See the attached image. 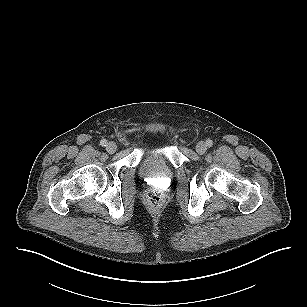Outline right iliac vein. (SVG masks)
I'll return each mask as SVG.
<instances>
[{
    "mask_svg": "<svg viewBox=\"0 0 307 307\" xmlns=\"http://www.w3.org/2000/svg\"><path fill=\"white\" fill-rule=\"evenodd\" d=\"M106 150L108 153L112 154L117 150V146L114 142H109L106 145Z\"/></svg>",
    "mask_w": 307,
    "mask_h": 307,
    "instance_id": "right-iliac-vein-1",
    "label": "right iliac vein"
}]
</instances>
